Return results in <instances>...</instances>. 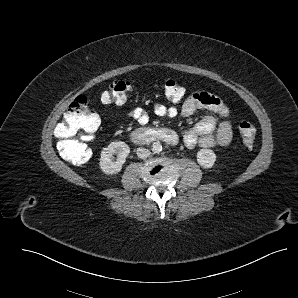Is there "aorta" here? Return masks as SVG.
Segmentation results:
<instances>
[{"instance_id": "aorta-1", "label": "aorta", "mask_w": 298, "mask_h": 298, "mask_svg": "<svg viewBox=\"0 0 298 298\" xmlns=\"http://www.w3.org/2000/svg\"><path fill=\"white\" fill-rule=\"evenodd\" d=\"M152 152L160 153L162 151V145L160 142H154L151 147Z\"/></svg>"}]
</instances>
